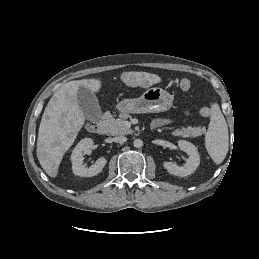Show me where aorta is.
Here are the masks:
<instances>
[{
  "label": "aorta",
  "instance_id": "762f6f07",
  "mask_svg": "<svg viewBox=\"0 0 259 259\" xmlns=\"http://www.w3.org/2000/svg\"><path fill=\"white\" fill-rule=\"evenodd\" d=\"M133 145L135 148H141L143 146V141L141 139H135Z\"/></svg>",
  "mask_w": 259,
  "mask_h": 259
}]
</instances>
